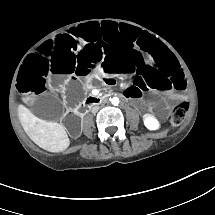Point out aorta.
Instances as JSON below:
<instances>
[{
  "instance_id": "762f6f07",
  "label": "aorta",
  "mask_w": 215,
  "mask_h": 215,
  "mask_svg": "<svg viewBox=\"0 0 215 215\" xmlns=\"http://www.w3.org/2000/svg\"><path fill=\"white\" fill-rule=\"evenodd\" d=\"M111 104L114 106H117L119 104V98L118 97H113L111 99Z\"/></svg>"
}]
</instances>
